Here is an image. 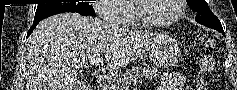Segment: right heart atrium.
<instances>
[{"label":"right heart atrium","mask_w":237,"mask_h":90,"mask_svg":"<svg viewBox=\"0 0 237 90\" xmlns=\"http://www.w3.org/2000/svg\"><path fill=\"white\" fill-rule=\"evenodd\" d=\"M121 3L123 0H95L90 6V10L99 12L102 20H118L119 16L113 12V9L114 6H121Z\"/></svg>","instance_id":"right-heart-atrium-1"}]
</instances>
